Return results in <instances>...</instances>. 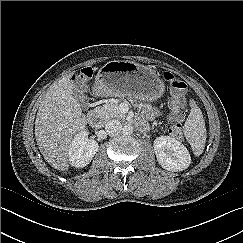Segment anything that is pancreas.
I'll return each mask as SVG.
<instances>
[{
	"mask_svg": "<svg viewBox=\"0 0 243 243\" xmlns=\"http://www.w3.org/2000/svg\"><path fill=\"white\" fill-rule=\"evenodd\" d=\"M101 116L106 119L125 117V114L120 111L117 102H109L99 108Z\"/></svg>",
	"mask_w": 243,
	"mask_h": 243,
	"instance_id": "obj_1",
	"label": "pancreas"
}]
</instances>
